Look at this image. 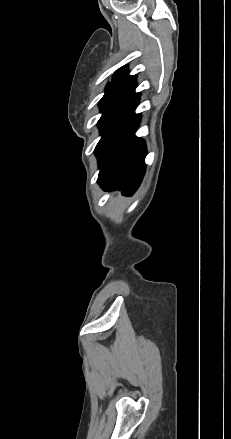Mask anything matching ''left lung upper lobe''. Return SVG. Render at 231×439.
I'll return each instance as SVG.
<instances>
[{"label": "left lung upper lobe", "instance_id": "obj_1", "mask_svg": "<svg viewBox=\"0 0 231 439\" xmlns=\"http://www.w3.org/2000/svg\"><path fill=\"white\" fill-rule=\"evenodd\" d=\"M135 88L136 76H129L126 67L118 69L112 77L111 86H107L106 92L99 102L102 117L133 92Z\"/></svg>", "mask_w": 231, "mask_h": 439}]
</instances>
